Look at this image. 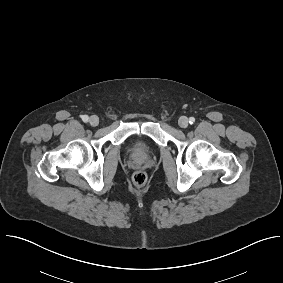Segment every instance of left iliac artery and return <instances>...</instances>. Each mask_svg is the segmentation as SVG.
<instances>
[{
  "mask_svg": "<svg viewBox=\"0 0 283 283\" xmlns=\"http://www.w3.org/2000/svg\"><path fill=\"white\" fill-rule=\"evenodd\" d=\"M194 122H195V118H194V117H190V118H189V123H190V124H194Z\"/></svg>",
  "mask_w": 283,
  "mask_h": 283,
  "instance_id": "obj_1",
  "label": "left iliac artery"
}]
</instances>
